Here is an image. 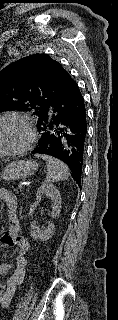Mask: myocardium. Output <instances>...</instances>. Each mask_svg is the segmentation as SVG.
<instances>
[{
    "label": "myocardium",
    "mask_w": 118,
    "mask_h": 320,
    "mask_svg": "<svg viewBox=\"0 0 118 320\" xmlns=\"http://www.w3.org/2000/svg\"><path fill=\"white\" fill-rule=\"evenodd\" d=\"M5 123H17L21 126L22 134L17 144L3 149L0 147V156L8 154H18L30 148L35 140V131L27 118L20 115H6L0 117V125Z\"/></svg>",
    "instance_id": "myocardium-1"
}]
</instances>
